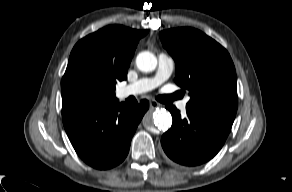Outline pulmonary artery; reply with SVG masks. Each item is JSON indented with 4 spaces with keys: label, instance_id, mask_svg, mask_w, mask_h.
Here are the masks:
<instances>
[{
    "label": "pulmonary artery",
    "instance_id": "obj_1",
    "mask_svg": "<svg viewBox=\"0 0 292 192\" xmlns=\"http://www.w3.org/2000/svg\"><path fill=\"white\" fill-rule=\"evenodd\" d=\"M174 68L175 62L173 58L165 53H160L158 55L157 70L153 77L141 78L133 83L121 87L117 94L120 98H126L131 95L149 92L167 81L172 75ZM186 106L187 100H183L178 103V108L182 112L186 110Z\"/></svg>",
    "mask_w": 292,
    "mask_h": 192
}]
</instances>
